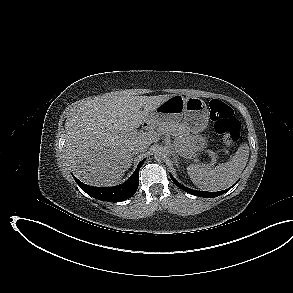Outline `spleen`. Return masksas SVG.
<instances>
[{
	"mask_svg": "<svg viewBox=\"0 0 293 293\" xmlns=\"http://www.w3.org/2000/svg\"><path fill=\"white\" fill-rule=\"evenodd\" d=\"M249 158L248 144H242L235 155L226 163L211 168L206 164H192L187 167L192 182L206 191H220L230 187L242 173Z\"/></svg>",
	"mask_w": 293,
	"mask_h": 293,
	"instance_id": "spleen-1",
	"label": "spleen"
}]
</instances>
